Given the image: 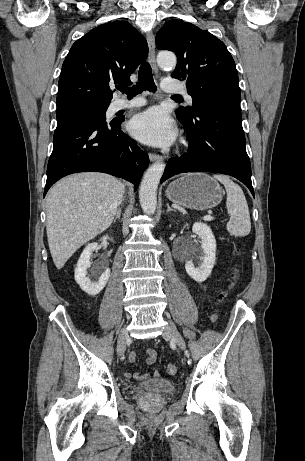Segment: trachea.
Listing matches in <instances>:
<instances>
[{
    "mask_svg": "<svg viewBox=\"0 0 305 461\" xmlns=\"http://www.w3.org/2000/svg\"><path fill=\"white\" fill-rule=\"evenodd\" d=\"M139 78L136 85L132 87L121 86L118 89L122 92L127 94L128 99L133 98L137 94L142 93L144 90H148L151 92H156L157 87L155 86L153 76H152V69L148 62H144L139 68ZM176 99L182 100V97L179 95L173 96Z\"/></svg>",
    "mask_w": 305,
    "mask_h": 461,
    "instance_id": "3493384b",
    "label": "trachea"
}]
</instances>
